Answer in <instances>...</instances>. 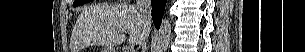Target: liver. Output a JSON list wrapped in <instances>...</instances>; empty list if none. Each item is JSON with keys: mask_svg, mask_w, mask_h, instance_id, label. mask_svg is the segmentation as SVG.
<instances>
[{"mask_svg": "<svg viewBox=\"0 0 305 52\" xmlns=\"http://www.w3.org/2000/svg\"><path fill=\"white\" fill-rule=\"evenodd\" d=\"M77 26L86 41L107 47L123 43L126 32L130 44H140L146 31L139 11L132 5L91 6L80 14Z\"/></svg>", "mask_w": 305, "mask_h": 52, "instance_id": "6515ba94", "label": "liver"}]
</instances>
